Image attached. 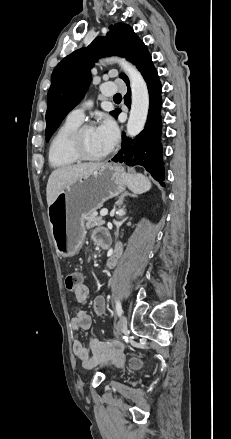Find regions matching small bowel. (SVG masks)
Segmentation results:
<instances>
[{
    "mask_svg": "<svg viewBox=\"0 0 231 439\" xmlns=\"http://www.w3.org/2000/svg\"><path fill=\"white\" fill-rule=\"evenodd\" d=\"M92 239L100 245L104 241L111 242L108 232L104 229H95L92 233ZM121 244L117 243L110 251L107 260V268H113L121 255ZM71 290V289H69ZM92 290L91 283H78L75 288V299L78 304H83L90 297ZM92 309L94 314L101 316L106 311V301L103 296L95 298ZM70 327L73 331V352L81 365L85 368H92L99 364L111 362L119 365L123 361L122 345L117 343H106L98 338L89 339V348H86L78 334L80 330L88 331L91 328V316L82 308L77 307L74 316L70 320Z\"/></svg>",
    "mask_w": 231,
    "mask_h": 439,
    "instance_id": "obj_1",
    "label": "small bowel"
}]
</instances>
